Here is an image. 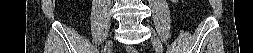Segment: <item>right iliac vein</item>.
I'll use <instances>...</instances> for the list:
<instances>
[{
	"label": "right iliac vein",
	"instance_id": "1",
	"mask_svg": "<svg viewBox=\"0 0 253 53\" xmlns=\"http://www.w3.org/2000/svg\"><path fill=\"white\" fill-rule=\"evenodd\" d=\"M112 45V41H110L109 43H108V47H110Z\"/></svg>",
	"mask_w": 253,
	"mask_h": 53
}]
</instances>
